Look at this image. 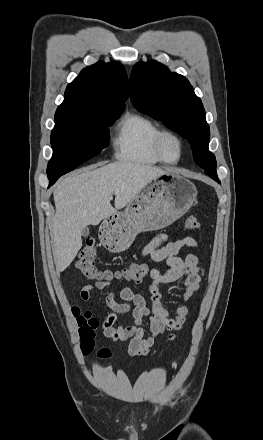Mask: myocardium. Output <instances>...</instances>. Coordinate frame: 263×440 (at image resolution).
<instances>
[{"label":"myocardium","mask_w":263,"mask_h":440,"mask_svg":"<svg viewBox=\"0 0 263 440\" xmlns=\"http://www.w3.org/2000/svg\"><path fill=\"white\" fill-rule=\"evenodd\" d=\"M167 136L173 137L179 144V156L176 160H168L164 155V152L162 149V142H163V139ZM184 149H185V143H184L183 138L174 130L160 129L159 132L155 136V139H154L155 153L157 154L159 159L166 164L178 163L183 157Z\"/></svg>","instance_id":"f54148a6"}]
</instances>
